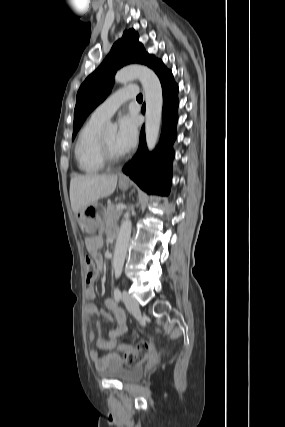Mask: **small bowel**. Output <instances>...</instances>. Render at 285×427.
<instances>
[{"label":"small bowel","mask_w":285,"mask_h":427,"mask_svg":"<svg viewBox=\"0 0 285 427\" xmlns=\"http://www.w3.org/2000/svg\"><path fill=\"white\" fill-rule=\"evenodd\" d=\"M102 245V238L95 236L86 241L88 252L94 257L98 267L101 269L103 260L98 250ZM88 300H93L96 297V288L94 283L87 286L85 292ZM106 309L109 312L100 310L96 305L89 304L87 306L88 313V338L90 342H95L97 350L90 351V358L94 362L95 367L99 371H103L111 366L121 365V357L113 351L115 343L120 340L128 332L126 325V316L124 310L118 305L117 301L109 298L105 301ZM93 317L98 319L97 336L94 331ZM112 320L116 323V327L111 330H104L101 325V320ZM102 352H107L102 355Z\"/></svg>","instance_id":"obj_1"}]
</instances>
